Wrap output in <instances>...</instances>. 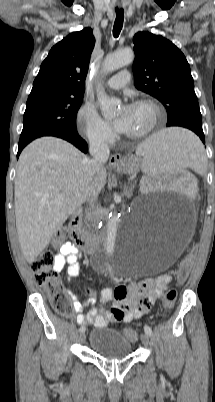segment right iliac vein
Instances as JSON below:
<instances>
[{
  "instance_id": "obj_1",
  "label": "right iliac vein",
  "mask_w": 215,
  "mask_h": 402,
  "mask_svg": "<svg viewBox=\"0 0 215 402\" xmlns=\"http://www.w3.org/2000/svg\"><path fill=\"white\" fill-rule=\"evenodd\" d=\"M85 339H86V335H85L84 332H82V333L80 334L79 341H80L81 343H83V342L85 341Z\"/></svg>"
}]
</instances>
